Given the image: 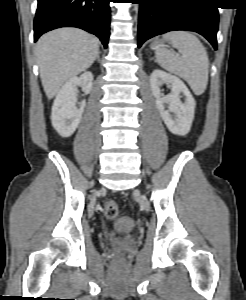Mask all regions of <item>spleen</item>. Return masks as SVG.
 <instances>
[{
	"label": "spleen",
	"instance_id": "1",
	"mask_svg": "<svg viewBox=\"0 0 246 300\" xmlns=\"http://www.w3.org/2000/svg\"><path fill=\"white\" fill-rule=\"evenodd\" d=\"M163 38L169 40L180 55L161 46L155 52L157 63L184 79L195 95L204 93L208 83L209 59L203 44L188 31H172Z\"/></svg>",
	"mask_w": 246,
	"mask_h": 300
}]
</instances>
